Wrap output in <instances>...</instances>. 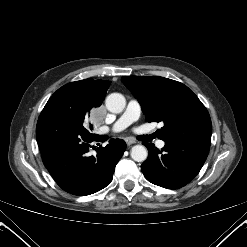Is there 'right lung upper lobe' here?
I'll return each mask as SVG.
<instances>
[{
  "instance_id": "1",
  "label": "right lung upper lobe",
  "mask_w": 247,
  "mask_h": 247,
  "mask_svg": "<svg viewBox=\"0 0 247 247\" xmlns=\"http://www.w3.org/2000/svg\"><path fill=\"white\" fill-rule=\"evenodd\" d=\"M71 83L81 86L88 92L95 95L101 102L103 101L106 91L111 84L110 81L93 80L92 78L71 82Z\"/></svg>"
}]
</instances>
